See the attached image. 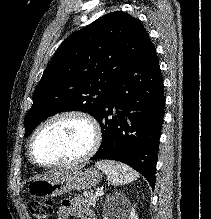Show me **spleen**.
I'll use <instances>...</instances> for the list:
<instances>
[{
	"label": "spleen",
	"mask_w": 211,
	"mask_h": 219,
	"mask_svg": "<svg viewBox=\"0 0 211 219\" xmlns=\"http://www.w3.org/2000/svg\"><path fill=\"white\" fill-rule=\"evenodd\" d=\"M95 166L105 173L108 180L115 186L128 184L136 180L139 175L125 164L111 160H101Z\"/></svg>",
	"instance_id": "spleen-1"
}]
</instances>
